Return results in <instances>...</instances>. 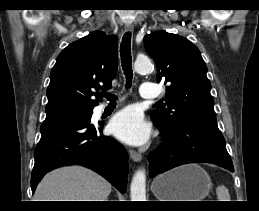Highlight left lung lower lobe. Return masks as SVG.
I'll return each instance as SVG.
<instances>
[{
  "mask_svg": "<svg viewBox=\"0 0 259 211\" xmlns=\"http://www.w3.org/2000/svg\"><path fill=\"white\" fill-rule=\"evenodd\" d=\"M159 128L163 143L148 157L150 177L195 162L212 163L234 171L225 139L218 126L189 120L169 131Z\"/></svg>",
  "mask_w": 259,
  "mask_h": 211,
  "instance_id": "obj_1",
  "label": "left lung lower lobe"
}]
</instances>
